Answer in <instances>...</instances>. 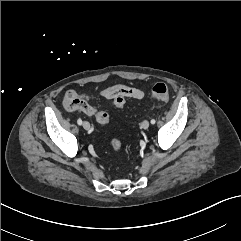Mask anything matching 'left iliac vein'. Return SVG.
Segmentation results:
<instances>
[{
    "label": "left iliac vein",
    "mask_w": 241,
    "mask_h": 241,
    "mask_svg": "<svg viewBox=\"0 0 241 241\" xmlns=\"http://www.w3.org/2000/svg\"><path fill=\"white\" fill-rule=\"evenodd\" d=\"M149 125H150L149 121L144 120V121L142 122V124H141V127H142L143 129H147V128L149 127Z\"/></svg>",
    "instance_id": "left-iliac-vein-1"
}]
</instances>
